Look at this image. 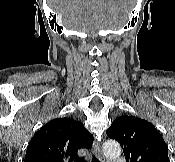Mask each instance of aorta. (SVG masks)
<instances>
[{
  "label": "aorta",
  "instance_id": "1",
  "mask_svg": "<svg viewBox=\"0 0 175 162\" xmlns=\"http://www.w3.org/2000/svg\"><path fill=\"white\" fill-rule=\"evenodd\" d=\"M103 153L109 160H115L121 155V147L115 140H107L103 144Z\"/></svg>",
  "mask_w": 175,
  "mask_h": 162
}]
</instances>
